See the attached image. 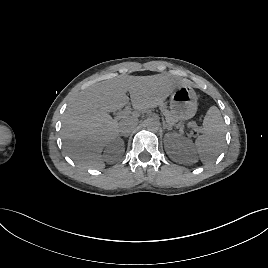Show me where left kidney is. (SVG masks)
Returning a JSON list of instances; mask_svg holds the SVG:
<instances>
[{
    "label": "left kidney",
    "instance_id": "left-kidney-1",
    "mask_svg": "<svg viewBox=\"0 0 268 268\" xmlns=\"http://www.w3.org/2000/svg\"><path fill=\"white\" fill-rule=\"evenodd\" d=\"M164 148L169 157L176 162L182 164L197 162V155L192 141L180 134H166Z\"/></svg>",
    "mask_w": 268,
    "mask_h": 268
}]
</instances>
